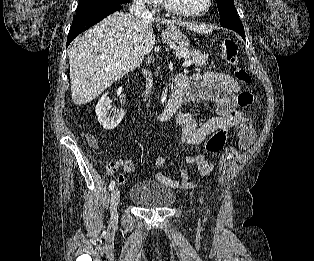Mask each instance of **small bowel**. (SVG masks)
Masks as SVG:
<instances>
[{
  "mask_svg": "<svg viewBox=\"0 0 314 261\" xmlns=\"http://www.w3.org/2000/svg\"><path fill=\"white\" fill-rule=\"evenodd\" d=\"M183 76L186 88L192 93L191 100H202L215 102L218 105L216 115L207 121L199 124L191 115L179 112L172 119L177 127L181 130V141L184 145H199L206 138L224 126H235L238 129L240 146L247 148L255 140V132L252 121L243 113L233 115L237 109V95L241 91L238 82L229 74L217 72L197 73L191 76ZM185 152V160L188 164L196 165L199 173L207 177L213 170V164L201 161L198 153L184 151L176 148L172 151L175 157ZM167 164L165 157H158L155 165L163 168ZM119 169H123L126 174L134 172V159L132 157L120 159L116 162H110L106 166L108 174H115ZM155 179L169 188H178L180 185L185 188H191L190 177L185 168L180 167L181 181L172 179L161 172L154 175ZM117 182L120 186L126 183V177L119 174Z\"/></svg>",
  "mask_w": 314,
  "mask_h": 261,
  "instance_id": "1",
  "label": "small bowel"
}]
</instances>
